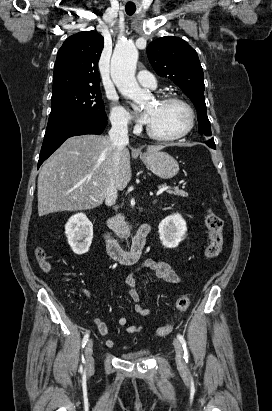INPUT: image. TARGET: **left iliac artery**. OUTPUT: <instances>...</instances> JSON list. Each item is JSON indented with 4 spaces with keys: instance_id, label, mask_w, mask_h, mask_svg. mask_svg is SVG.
I'll list each match as a JSON object with an SVG mask.
<instances>
[{
    "instance_id": "obj_1",
    "label": "left iliac artery",
    "mask_w": 272,
    "mask_h": 411,
    "mask_svg": "<svg viewBox=\"0 0 272 411\" xmlns=\"http://www.w3.org/2000/svg\"><path fill=\"white\" fill-rule=\"evenodd\" d=\"M177 338L180 341V343L182 344V347H183V350H184V359H185L186 362H188L189 353H188V350H187L186 341H185L184 337L181 334H178Z\"/></svg>"
}]
</instances>
